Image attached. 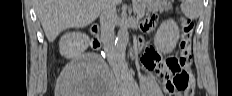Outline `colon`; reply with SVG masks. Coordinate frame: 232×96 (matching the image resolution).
<instances>
[{
	"instance_id": "1",
	"label": "colon",
	"mask_w": 232,
	"mask_h": 96,
	"mask_svg": "<svg viewBox=\"0 0 232 96\" xmlns=\"http://www.w3.org/2000/svg\"><path fill=\"white\" fill-rule=\"evenodd\" d=\"M182 35L179 44V54L168 58L164 68V87L172 96L192 95L190 77L187 67L191 61V42L194 23L189 18L181 19Z\"/></svg>"
}]
</instances>
